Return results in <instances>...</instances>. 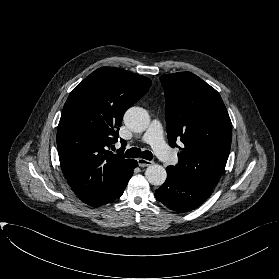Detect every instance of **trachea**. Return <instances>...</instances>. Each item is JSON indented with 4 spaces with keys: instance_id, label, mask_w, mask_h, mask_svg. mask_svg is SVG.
Wrapping results in <instances>:
<instances>
[{
    "instance_id": "3493384b",
    "label": "trachea",
    "mask_w": 279,
    "mask_h": 279,
    "mask_svg": "<svg viewBox=\"0 0 279 279\" xmlns=\"http://www.w3.org/2000/svg\"><path fill=\"white\" fill-rule=\"evenodd\" d=\"M125 157L127 158H138L141 157L143 159L151 161L153 159V154L148 151H141L139 148H131L125 152Z\"/></svg>"
}]
</instances>
